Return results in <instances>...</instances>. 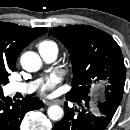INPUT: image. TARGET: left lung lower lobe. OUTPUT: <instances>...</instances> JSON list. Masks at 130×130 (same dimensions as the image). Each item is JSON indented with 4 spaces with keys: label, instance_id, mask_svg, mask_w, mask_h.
I'll use <instances>...</instances> for the list:
<instances>
[{
    "label": "left lung lower lobe",
    "instance_id": "1",
    "mask_svg": "<svg viewBox=\"0 0 130 130\" xmlns=\"http://www.w3.org/2000/svg\"><path fill=\"white\" fill-rule=\"evenodd\" d=\"M68 100L77 103L81 109L69 108L65 102L64 118L54 125L53 130H104L119 106L116 103L105 100L97 105L99 113L92 114L88 111L91 101L90 97L79 101Z\"/></svg>",
    "mask_w": 130,
    "mask_h": 130
}]
</instances>
